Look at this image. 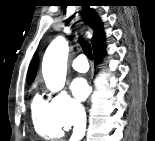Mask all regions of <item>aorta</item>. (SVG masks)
I'll return each mask as SVG.
<instances>
[{"label": "aorta", "instance_id": "762f6f07", "mask_svg": "<svg viewBox=\"0 0 155 141\" xmlns=\"http://www.w3.org/2000/svg\"><path fill=\"white\" fill-rule=\"evenodd\" d=\"M68 42L63 37L55 38L45 51L42 73L51 92L60 91L66 81Z\"/></svg>", "mask_w": 155, "mask_h": 141}]
</instances>
